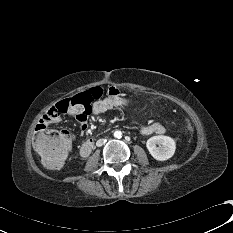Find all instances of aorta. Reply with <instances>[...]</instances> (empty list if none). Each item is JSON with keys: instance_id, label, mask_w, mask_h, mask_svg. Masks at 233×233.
Listing matches in <instances>:
<instances>
[{"instance_id": "obj_1", "label": "aorta", "mask_w": 233, "mask_h": 233, "mask_svg": "<svg viewBox=\"0 0 233 233\" xmlns=\"http://www.w3.org/2000/svg\"><path fill=\"white\" fill-rule=\"evenodd\" d=\"M121 135H122V133H121L120 131H115V133H114V136H115L116 138H120Z\"/></svg>"}]
</instances>
